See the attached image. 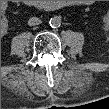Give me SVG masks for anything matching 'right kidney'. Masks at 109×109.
Instances as JSON below:
<instances>
[{
	"label": "right kidney",
	"instance_id": "obj_1",
	"mask_svg": "<svg viewBox=\"0 0 109 109\" xmlns=\"http://www.w3.org/2000/svg\"><path fill=\"white\" fill-rule=\"evenodd\" d=\"M2 29H3V31H5L7 29V25H4V23H3Z\"/></svg>",
	"mask_w": 109,
	"mask_h": 109
}]
</instances>
